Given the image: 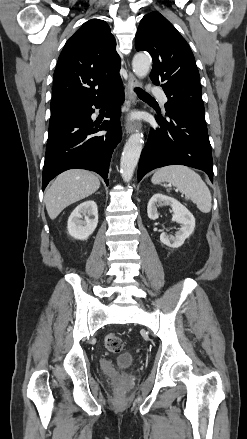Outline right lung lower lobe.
Here are the masks:
<instances>
[{
    "mask_svg": "<svg viewBox=\"0 0 247 439\" xmlns=\"http://www.w3.org/2000/svg\"><path fill=\"white\" fill-rule=\"evenodd\" d=\"M122 83L101 98L91 100L72 108L68 113L50 121L42 190L61 172L80 168L100 174L108 185V170L112 152L121 139L120 108L123 101ZM108 103L105 117L109 120L93 122L92 106L103 107ZM106 131L105 133H99Z\"/></svg>",
    "mask_w": 247,
    "mask_h": 439,
    "instance_id": "right-lung-lower-lobe-1",
    "label": "right lung lower lobe"
}]
</instances>
